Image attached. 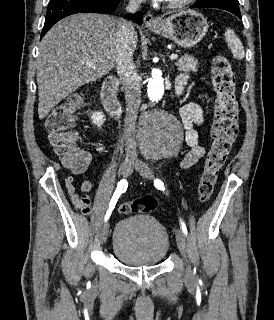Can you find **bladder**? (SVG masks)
Wrapping results in <instances>:
<instances>
[{"instance_id": "bladder-1", "label": "bladder", "mask_w": 274, "mask_h": 320, "mask_svg": "<svg viewBox=\"0 0 274 320\" xmlns=\"http://www.w3.org/2000/svg\"><path fill=\"white\" fill-rule=\"evenodd\" d=\"M169 249L170 238L166 228L152 216L135 213L120 219L114 227L113 254L125 265L160 264Z\"/></svg>"}]
</instances>
